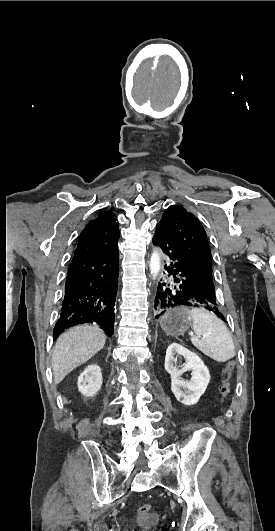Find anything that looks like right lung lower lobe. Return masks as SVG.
<instances>
[{"instance_id":"98d812e1","label":"right lung lower lobe","mask_w":275,"mask_h":531,"mask_svg":"<svg viewBox=\"0 0 275 531\" xmlns=\"http://www.w3.org/2000/svg\"><path fill=\"white\" fill-rule=\"evenodd\" d=\"M119 231L101 233L79 241L68 268L61 315L53 335L83 323H97L113 333L118 285Z\"/></svg>"}]
</instances>
